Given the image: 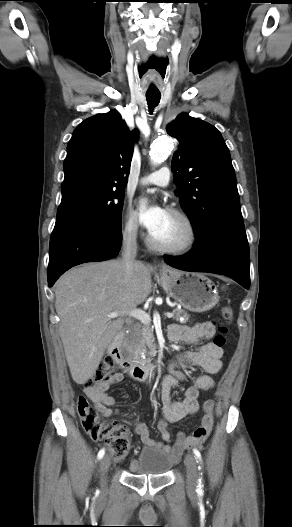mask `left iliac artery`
Returning a JSON list of instances; mask_svg holds the SVG:
<instances>
[{"label":"left iliac artery","instance_id":"obj_1","mask_svg":"<svg viewBox=\"0 0 292 527\" xmlns=\"http://www.w3.org/2000/svg\"><path fill=\"white\" fill-rule=\"evenodd\" d=\"M193 454H194L195 458L198 460L197 462H200V464H201V462H202L201 453L197 449H193ZM199 469H201V466H199ZM202 487H203V481H202V478H200V479H198L197 490L201 491Z\"/></svg>","mask_w":292,"mask_h":527}]
</instances>
